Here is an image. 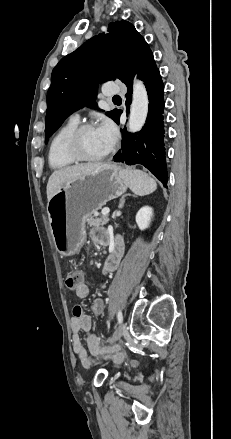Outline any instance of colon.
<instances>
[{
    "instance_id": "5ec220e1",
    "label": "colon",
    "mask_w": 231,
    "mask_h": 439,
    "mask_svg": "<svg viewBox=\"0 0 231 439\" xmlns=\"http://www.w3.org/2000/svg\"><path fill=\"white\" fill-rule=\"evenodd\" d=\"M77 283H87L84 278V269L80 265L75 264L72 268L66 271V285L68 288H72V294L75 293Z\"/></svg>"
}]
</instances>
